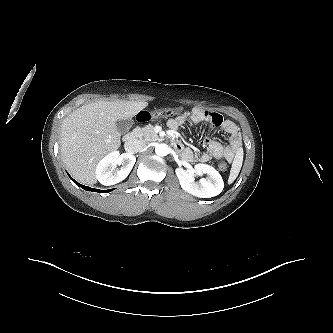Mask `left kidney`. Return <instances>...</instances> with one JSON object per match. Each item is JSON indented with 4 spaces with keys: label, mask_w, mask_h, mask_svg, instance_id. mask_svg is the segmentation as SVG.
<instances>
[{
    "label": "left kidney",
    "mask_w": 333,
    "mask_h": 333,
    "mask_svg": "<svg viewBox=\"0 0 333 333\" xmlns=\"http://www.w3.org/2000/svg\"><path fill=\"white\" fill-rule=\"evenodd\" d=\"M195 171L197 175L206 174L207 177L201 178L199 182H195L192 173L182 168L175 170L183 190L200 198L214 197L222 192L224 182L220 173L215 168L207 164H197L195 165Z\"/></svg>",
    "instance_id": "obj_1"
}]
</instances>
